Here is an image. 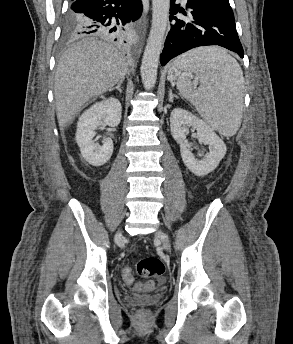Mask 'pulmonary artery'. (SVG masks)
I'll use <instances>...</instances> for the list:
<instances>
[{
    "label": "pulmonary artery",
    "instance_id": "pulmonary-artery-1",
    "mask_svg": "<svg viewBox=\"0 0 293 344\" xmlns=\"http://www.w3.org/2000/svg\"><path fill=\"white\" fill-rule=\"evenodd\" d=\"M182 1H183V3H184V4H186V3H187V0H182Z\"/></svg>",
    "mask_w": 293,
    "mask_h": 344
}]
</instances>
